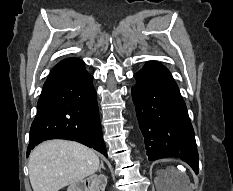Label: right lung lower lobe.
Here are the masks:
<instances>
[{
	"label": "right lung lower lobe",
	"mask_w": 233,
	"mask_h": 191,
	"mask_svg": "<svg viewBox=\"0 0 233 191\" xmlns=\"http://www.w3.org/2000/svg\"><path fill=\"white\" fill-rule=\"evenodd\" d=\"M92 79L78 58L64 59L52 69L38 100L27 157L50 139L77 141L107 157Z\"/></svg>",
	"instance_id": "1"
}]
</instances>
